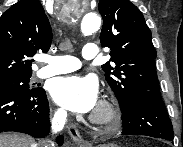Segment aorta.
<instances>
[{
  "mask_svg": "<svg viewBox=\"0 0 183 147\" xmlns=\"http://www.w3.org/2000/svg\"><path fill=\"white\" fill-rule=\"evenodd\" d=\"M101 25V18L96 13L86 14L81 21V32L84 35H91L96 32Z\"/></svg>",
  "mask_w": 183,
  "mask_h": 147,
  "instance_id": "762f6f07",
  "label": "aorta"
}]
</instances>
